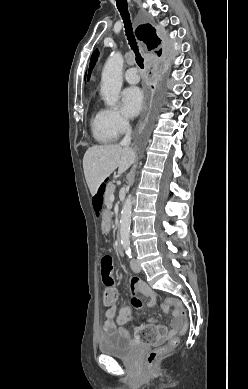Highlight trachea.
Masks as SVG:
<instances>
[{"label":"trachea","mask_w":248,"mask_h":389,"mask_svg":"<svg viewBox=\"0 0 248 389\" xmlns=\"http://www.w3.org/2000/svg\"><path fill=\"white\" fill-rule=\"evenodd\" d=\"M116 2H117V8H118L123 20H124L125 32H126L127 39H128L129 44L131 46V49L135 53L136 62L139 65V67L141 69H143L144 68V60L139 53L138 46H137L135 37L133 35L132 24L130 22V16L128 13L127 2H126V0H116Z\"/></svg>","instance_id":"obj_1"}]
</instances>
